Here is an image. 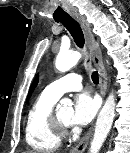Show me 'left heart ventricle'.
I'll return each instance as SVG.
<instances>
[{
  "mask_svg": "<svg viewBox=\"0 0 130 153\" xmlns=\"http://www.w3.org/2000/svg\"><path fill=\"white\" fill-rule=\"evenodd\" d=\"M71 110L70 109H64V110H60L58 112V117L60 118V120L66 124H69L70 122V118H71Z\"/></svg>",
  "mask_w": 130,
  "mask_h": 153,
  "instance_id": "left-heart-ventricle-1",
  "label": "left heart ventricle"
}]
</instances>
